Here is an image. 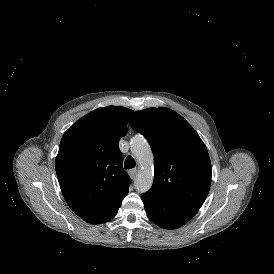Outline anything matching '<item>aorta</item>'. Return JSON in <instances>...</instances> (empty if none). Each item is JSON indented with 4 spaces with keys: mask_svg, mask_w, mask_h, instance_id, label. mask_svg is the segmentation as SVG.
I'll return each instance as SVG.
<instances>
[{
    "mask_svg": "<svg viewBox=\"0 0 274 274\" xmlns=\"http://www.w3.org/2000/svg\"><path fill=\"white\" fill-rule=\"evenodd\" d=\"M130 147L141 166V171L137 174L135 179V189L141 193L147 192L151 188L154 179V156L152 150L142 135L133 137L130 142Z\"/></svg>",
    "mask_w": 274,
    "mask_h": 274,
    "instance_id": "1",
    "label": "aorta"
}]
</instances>
